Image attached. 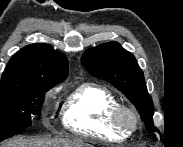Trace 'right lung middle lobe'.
<instances>
[{
	"mask_svg": "<svg viewBox=\"0 0 183 147\" xmlns=\"http://www.w3.org/2000/svg\"><path fill=\"white\" fill-rule=\"evenodd\" d=\"M50 88L52 87L43 83L1 87L0 141L22 132L31 125V117L40 113L44 93Z\"/></svg>",
	"mask_w": 183,
	"mask_h": 147,
	"instance_id": "right-lung-middle-lobe-1",
	"label": "right lung middle lobe"
}]
</instances>
